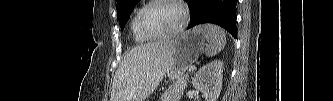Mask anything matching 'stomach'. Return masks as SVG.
Masks as SVG:
<instances>
[{
    "label": "stomach",
    "mask_w": 333,
    "mask_h": 101,
    "mask_svg": "<svg viewBox=\"0 0 333 101\" xmlns=\"http://www.w3.org/2000/svg\"><path fill=\"white\" fill-rule=\"evenodd\" d=\"M205 41L200 33L190 30L172 40L171 58L167 69L169 79L183 76L189 65L198 60L204 52Z\"/></svg>",
    "instance_id": "stomach-1"
}]
</instances>
